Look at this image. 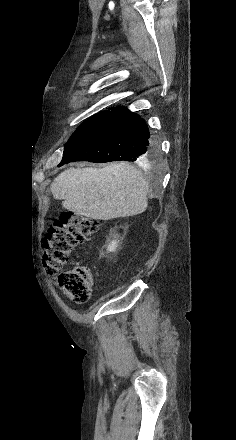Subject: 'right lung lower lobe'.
<instances>
[{
  "label": "right lung lower lobe",
  "mask_w": 236,
  "mask_h": 440,
  "mask_svg": "<svg viewBox=\"0 0 236 440\" xmlns=\"http://www.w3.org/2000/svg\"><path fill=\"white\" fill-rule=\"evenodd\" d=\"M146 122L125 107L115 108L66 143L59 166L74 161H137L152 151Z\"/></svg>",
  "instance_id": "obj_1"
}]
</instances>
